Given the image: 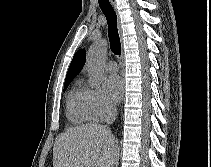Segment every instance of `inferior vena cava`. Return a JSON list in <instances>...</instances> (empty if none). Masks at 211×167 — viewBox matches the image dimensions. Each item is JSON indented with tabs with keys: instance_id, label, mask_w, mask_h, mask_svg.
Instances as JSON below:
<instances>
[{
	"instance_id": "1",
	"label": "inferior vena cava",
	"mask_w": 211,
	"mask_h": 167,
	"mask_svg": "<svg viewBox=\"0 0 211 167\" xmlns=\"http://www.w3.org/2000/svg\"><path fill=\"white\" fill-rule=\"evenodd\" d=\"M116 116H117L116 107H112V106L108 107V109H107V120H106L107 124L113 123L116 119ZM107 130L110 131V129L108 127H107Z\"/></svg>"
}]
</instances>
